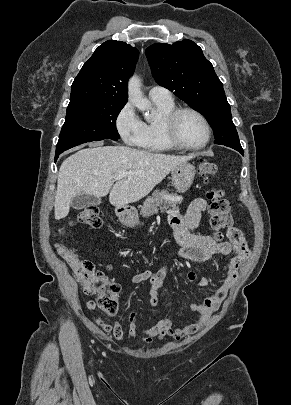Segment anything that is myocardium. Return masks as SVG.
<instances>
[{
    "label": "myocardium",
    "mask_w": 291,
    "mask_h": 405,
    "mask_svg": "<svg viewBox=\"0 0 291 405\" xmlns=\"http://www.w3.org/2000/svg\"><path fill=\"white\" fill-rule=\"evenodd\" d=\"M184 113H192L197 116L204 124L207 132L206 140L203 144L198 146H190L185 144L179 137L178 124L180 117ZM165 134L169 142L178 149L186 151H198L208 146L212 138V128L206 116L199 110L192 107H179L171 111L164 120Z\"/></svg>",
    "instance_id": "1"
}]
</instances>
